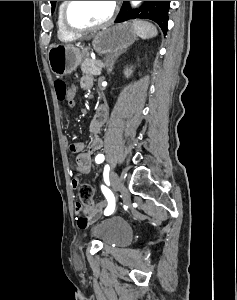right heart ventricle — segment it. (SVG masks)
<instances>
[{"instance_id": "e07e8e85", "label": "right heart ventricle", "mask_w": 237, "mask_h": 300, "mask_svg": "<svg viewBox=\"0 0 237 300\" xmlns=\"http://www.w3.org/2000/svg\"><path fill=\"white\" fill-rule=\"evenodd\" d=\"M66 1H61L59 6H58V20H57V31H58V36L60 39H71L73 37V34L69 33L62 22V11L64 8Z\"/></svg>"}]
</instances>
